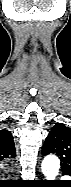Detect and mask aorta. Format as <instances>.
Returning <instances> with one entry per match:
<instances>
[{
    "label": "aorta",
    "mask_w": 71,
    "mask_h": 187,
    "mask_svg": "<svg viewBox=\"0 0 71 187\" xmlns=\"http://www.w3.org/2000/svg\"><path fill=\"white\" fill-rule=\"evenodd\" d=\"M41 168L47 180H55L60 169V160L56 155H48L43 159Z\"/></svg>",
    "instance_id": "1"
}]
</instances>
